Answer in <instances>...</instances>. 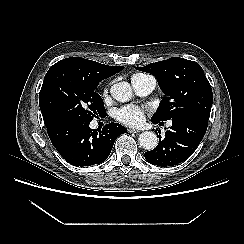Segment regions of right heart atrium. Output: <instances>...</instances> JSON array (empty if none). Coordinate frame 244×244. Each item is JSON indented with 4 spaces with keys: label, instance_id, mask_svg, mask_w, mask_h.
Returning a JSON list of instances; mask_svg holds the SVG:
<instances>
[{
    "label": "right heart atrium",
    "instance_id": "right-heart-atrium-1",
    "mask_svg": "<svg viewBox=\"0 0 244 244\" xmlns=\"http://www.w3.org/2000/svg\"><path fill=\"white\" fill-rule=\"evenodd\" d=\"M107 94V89L104 90L103 96L105 97Z\"/></svg>",
    "mask_w": 244,
    "mask_h": 244
}]
</instances>
